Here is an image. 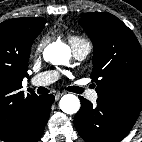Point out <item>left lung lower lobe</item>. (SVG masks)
<instances>
[{"label":"left lung lower lobe","instance_id":"1","mask_svg":"<svg viewBox=\"0 0 142 142\" xmlns=\"http://www.w3.org/2000/svg\"><path fill=\"white\" fill-rule=\"evenodd\" d=\"M80 100L81 108L74 117V123L86 142H119L129 133L137 119L99 99L96 105L83 97Z\"/></svg>","mask_w":142,"mask_h":142}]
</instances>
